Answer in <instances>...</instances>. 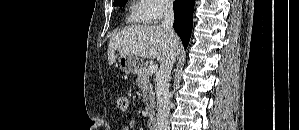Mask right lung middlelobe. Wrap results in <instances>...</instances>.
Masks as SVG:
<instances>
[{"label":"right lung middle lobe","mask_w":299,"mask_h":130,"mask_svg":"<svg viewBox=\"0 0 299 130\" xmlns=\"http://www.w3.org/2000/svg\"><path fill=\"white\" fill-rule=\"evenodd\" d=\"M128 0H117L116 2H114V6H125V4L127 3Z\"/></svg>","instance_id":"obj_1"}]
</instances>
